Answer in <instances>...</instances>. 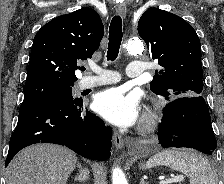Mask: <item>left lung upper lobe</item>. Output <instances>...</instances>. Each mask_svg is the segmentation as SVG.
I'll return each instance as SVG.
<instances>
[{
	"label": "left lung upper lobe",
	"mask_w": 224,
	"mask_h": 184,
	"mask_svg": "<svg viewBox=\"0 0 224 184\" xmlns=\"http://www.w3.org/2000/svg\"><path fill=\"white\" fill-rule=\"evenodd\" d=\"M138 33L162 67L150 83L154 93L167 101L202 95L200 40L190 24L170 12L150 8L140 17Z\"/></svg>",
	"instance_id": "obj_1"
}]
</instances>
